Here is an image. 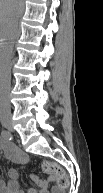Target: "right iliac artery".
Listing matches in <instances>:
<instances>
[{
    "instance_id": "82829eb1",
    "label": "right iliac artery",
    "mask_w": 103,
    "mask_h": 193,
    "mask_svg": "<svg viewBox=\"0 0 103 193\" xmlns=\"http://www.w3.org/2000/svg\"><path fill=\"white\" fill-rule=\"evenodd\" d=\"M1 135L6 139V140H12V135L9 131L7 130H2Z\"/></svg>"
}]
</instances>
